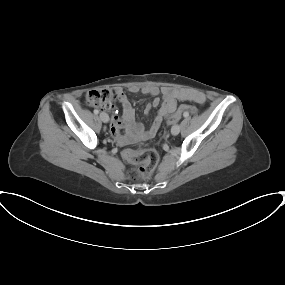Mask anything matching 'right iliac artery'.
<instances>
[{
	"label": "right iliac artery",
	"mask_w": 285,
	"mask_h": 285,
	"mask_svg": "<svg viewBox=\"0 0 285 285\" xmlns=\"http://www.w3.org/2000/svg\"><path fill=\"white\" fill-rule=\"evenodd\" d=\"M94 113H95V114H98V113H99V111H98L97 109H95V110H94Z\"/></svg>",
	"instance_id": "right-iliac-artery-1"
}]
</instances>
